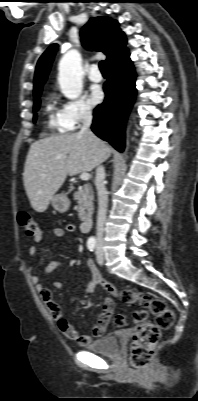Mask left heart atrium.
Here are the masks:
<instances>
[{
    "instance_id": "39dd6f15",
    "label": "left heart atrium",
    "mask_w": 198,
    "mask_h": 401,
    "mask_svg": "<svg viewBox=\"0 0 198 401\" xmlns=\"http://www.w3.org/2000/svg\"><path fill=\"white\" fill-rule=\"evenodd\" d=\"M89 102L92 105L100 104L104 99V92L100 86H93L89 93Z\"/></svg>"
}]
</instances>
